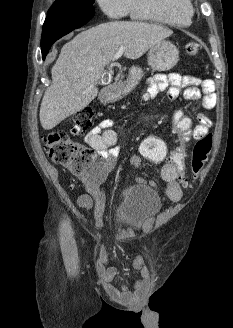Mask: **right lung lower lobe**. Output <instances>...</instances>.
Segmentation results:
<instances>
[{"instance_id":"obj_1","label":"right lung lower lobe","mask_w":233,"mask_h":328,"mask_svg":"<svg viewBox=\"0 0 233 328\" xmlns=\"http://www.w3.org/2000/svg\"><path fill=\"white\" fill-rule=\"evenodd\" d=\"M94 14L48 15L43 25L41 40L42 58L45 59L52 44L74 29L86 24Z\"/></svg>"}]
</instances>
